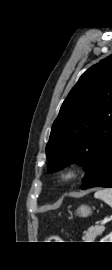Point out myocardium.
Returning <instances> with one entry per match:
<instances>
[{"label": "myocardium", "mask_w": 112, "mask_h": 270, "mask_svg": "<svg viewBox=\"0 0 112 270\" xmlns=\"http://www.w3.org/2000/svg\"><path fill=\"white\" fill-rule=\"evenodd\" d=\"M81 174L79 167L73 164L62 167L57 173V180L62 185H67L77 180Z\"/></svg>", "instance_id": "f54148a6"}]
</instances>
